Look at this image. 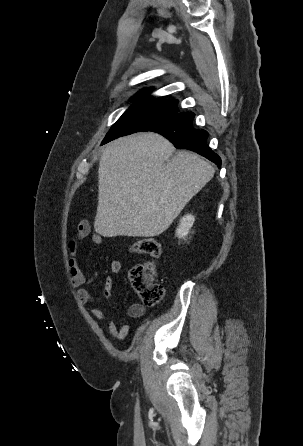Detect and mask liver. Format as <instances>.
I'll use <instances>...</instances> for the list:
<instances>
[{
  "instance_id": "6515ba94",
  "label": "liver",
  "mask_w": 303,
  "mask_h": 446,
  "mask_svg": "<svg viewBox=\"0 0 303 446\" xmlns=\"http://www.w3.org/2000/svg\"><path fill=\"white\" fill-rule=\"evenodd\" d=\"M156 133L119 138L103 150L98 169L95 231L105 237H154L169 228L213 177L212 165L179 151Z\"/></svg>"
}]
</instances>
